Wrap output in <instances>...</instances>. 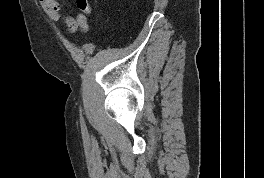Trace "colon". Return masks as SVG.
<instances>
[{
    "mask_svg": "<svg viewBox=\"0 0 264 178\" xmlns=\"http://www.w3.org/2000/svg\"><path fill=\"white\" fill-rule=\"evenodd\" d=\"M78 10L81 14L88 17L91 13V3L90 0H76ZM84 31L88 30V26L83 29Z\"/></svg>",
    "mask_w": 264,
    "mask_h": 178,
    "instance_id": "obj_1",
    "label": "colon"
}]
</instances>
